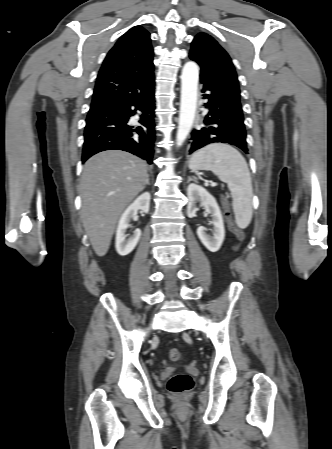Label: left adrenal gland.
<instances>
[{
    "label": "left adrenal gland",
    "mask_w": 332,
    "mask_h": 449,
    "mask_svg": "<svg viewBox=\"0 0 332 449\" xmlns=\"http://www.w3.org/2000/svg\"><path fill=\"white\" fill-rule=\"evenodd\" d=\"M193 179L191 178V177H188V183L190 182V181H192Z\"/></svg>",
    "instance_id": "a2214340"
}]
</instances>
